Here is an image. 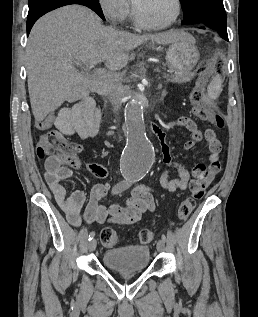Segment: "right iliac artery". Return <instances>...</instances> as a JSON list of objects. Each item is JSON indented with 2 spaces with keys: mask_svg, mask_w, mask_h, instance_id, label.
<instances>
[{
  "mask_svg": "<svg viewBox=\"0 0 258 317\" xmlns=\"http://www.w3.org/2000/svg\"><path fill=\"white\" fill-rule=\"evenodd\" d=\"M132 182H133V178H125V180L114 185L112 189V193L118 194L122 192L123 190L129 188L132 185ZM94 236H95V232L94 231L90 232L88 241H91L94 238Z\"/></svg>",
  "mask_w": 258,
  "mask_h": 317,
  "instance_id": "1",
  "label": "right iliac artery"
}]
</instances>
